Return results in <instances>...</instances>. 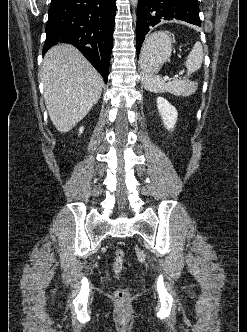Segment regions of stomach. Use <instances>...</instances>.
Segmentation results:
<instances>
[{
  "instance_id": "0dacf381",
  "label": "stomach",
  "mask_w": 247,
  "mask_h": 332,
  "mask_svg": "<svg viewBox=\"0 0 247 332\" xmlns=\"http://www.w3.org/2000/svg\"><path fill=\"white\" fill-rule=\"evenodd\" d=\"M172 53V38L168 32H156L145 41L141 54L140 66L145 74L154 75L166 63Z\"/></svg>"
}]
</instances>
